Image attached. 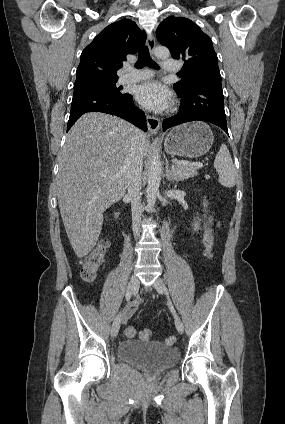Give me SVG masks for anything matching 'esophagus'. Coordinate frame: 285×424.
Returning <instances> with one entry per match:
<instances>
[{"label": "esophagus", "mask_w": 285, "mask_h": 424, "mask_svg": "<svg viewBox=\"0 0 285 424\" xmlns=\"http://www.w3.org/2000/svg\"><path fill=\"white\" fill-rule=\"evenodd\" d=\"M147 44H148V48H149L151 56L155 57L154 51H155L156 42H155V38L152 35L148 37ZM146 120H147V126H148L149 132L151 134H157L160 128V120L157 117H154L151 115H147Z\"/></svg>", "instance_id": "34e87169"}]
</instances>
